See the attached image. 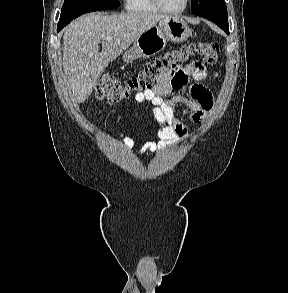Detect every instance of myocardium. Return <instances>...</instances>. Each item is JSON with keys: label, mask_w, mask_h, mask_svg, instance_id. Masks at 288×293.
I'll return each instance as SVG.
<instances>
[{"label": "myocardium", "mask_w": 288, "mask_h": 293, "mask_svg": "<svg viewBox=\"0 0 288 293\" xmlns=\"http://www.w3.org/2000/svg\"><path fill=\"white\" fill-rule=\"evenodd\" d=\"M153 3L155 4V6L158 8V10L168 13V14H181L182 12H184L188 6L189 0H184V3L182 5L181 8L176 9V10H171L168 9L167 7H165L163 5V3L161 2V0H152Z\"/></svg>", "instance_id": "myocardium-1"}]
</instances>
